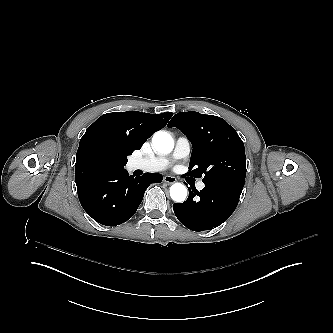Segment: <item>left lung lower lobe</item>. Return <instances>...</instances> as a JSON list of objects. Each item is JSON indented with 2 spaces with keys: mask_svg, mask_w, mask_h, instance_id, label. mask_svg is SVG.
<instances>
[{
  "mask_svg": "<svg viewBox=\"0 0 333 333\" xmlns=\"http://www.w3.org/2000/svg\"><path fill=\"white\" fill-rule=\"evenodd\" d=\"M188 189L187 200L173 204L174 213L190 230L204 231L221 225L231 216L237 207L243 186L228 182H213L205 183L204 189L200 192L192 185Z\"/></svg>",
  "mask_w": 333,
  "mask_h": 333,
  "instance_id": "obj_1",
  "label": "left lung lower lobe"
}]
</instances>
